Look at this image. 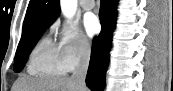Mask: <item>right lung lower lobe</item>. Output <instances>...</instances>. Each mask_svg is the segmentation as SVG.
<instances>
[{"mask_svg":"<svg viewBox=\"0 0 173 91\" xmlns=\"http://www.w3.org/2000/svg\"><path fill=\"white\" fill-rule=\"evenodd\" d=\"M117 0H101L99 18L102 26L99 36L93 40L86 84L92 91H103L109 62L112 33L116 26Z\"/></svg>","mask_w":173,"mask_h":91,"instance_id":"98d812e1","label":"right lung lower lobe"}]
</instances>
